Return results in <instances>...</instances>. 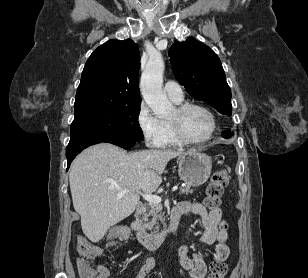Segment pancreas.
Here are the masks:
<instances>
[{
	"instance_id": "obj_1",
	"label": "pancreas",
	"mask_w": 308,
	"mask_h": 278,
	"mask_svg": "<svg viewBox=\"0 0 308 278\" xmlns=\"http://www.w3.org/2000/svg\"><path fill=\"white\" fill-rule=\"evenodd\" d=\"M190 187L186 186L180 188V194L190 193ZM163 207L160 203H150L146 206V210L141 217V229L143 231L159 230V220L164 221V215L162 214Z\"/></svg>"
}]
</instances>
